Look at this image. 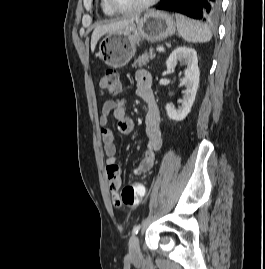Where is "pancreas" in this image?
Listing matches in <instances>:
<instances>
[{"label":"pancreas","instance_id":"obj_1","mask_svg":"<svg viewBox=\"0 0 265 269\" xmlns=\"http://www.w3.org/2000/svg\"><path fill=\"white\" fill-rule=\"evenodd\" d=\"M155 57L153 49H150L149 53H144L140 55L135 61L134 66L135 67H143L146 66L147 63L150 61V59H153Z\"/></svg>","mask_w":265,"mask_h":269}]
</instances>
